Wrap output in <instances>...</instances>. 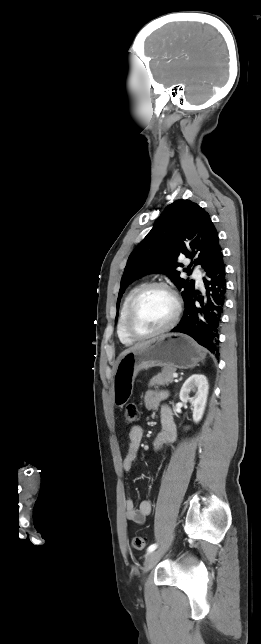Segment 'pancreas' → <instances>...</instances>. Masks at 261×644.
<instances>
[{
    "label": "pancreas",
    "mask_w": 261,
    "mask_h": 644,
    "mask_svg": "<svg viewBox=\"0 0 261 644\" xmlns=\"http://www.w3.org/2000/svg\"><path fill=\"white\" fill-rule=\"evenodd\" d=\"M176 372L174 368L164 367L160 373L154 376L150 382L149 387L165 386L173 382V374Z\"/></svg>",
    "instance_id": "pancreas-1"
}]
</instances>
